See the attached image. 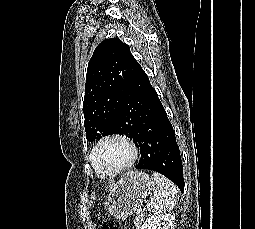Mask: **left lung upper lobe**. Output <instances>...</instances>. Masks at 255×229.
I'll return each instance as SVG.
<instances>
[{
  "label": "left lung upper lobe",
  "instance_id": "obj_1",
  "mask_svg": "<svg viewBox=\"0 0 255 229\" xmlns=\"http://www.w3.org/2000/svg\"><path fill=\"white\" fill-rule=\"evenodd\" d=\"M138 67L129 46L118 38L105 39L94 50L88 63L83 102L89 142L111 134L135 140L118 117Z\"/></svg>",
  "mask_w": 255,
  "mask_h": 229
}]
</instances>
